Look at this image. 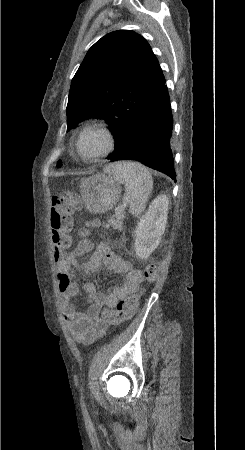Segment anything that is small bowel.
I'll list each match as a JSON object with an SVG mask.
<instances>
[{
    "label": "small bowel",
    "mask_w": 245,
    "mask_h": 450,
    "mask_svg": "<svg viewBox=\"0 0 245 450\" xmlns=\"http://www.w3.org/2000/svg\"><path fill=\"white\" fill-rule=\"evenodd\" d=\"M90 250H92V255L85 263H82L81 257ZM73 266L82 268L86 273H91L104 266L112 273L124 276L125 279L104 295L98 293L94 283H85L84 291L88 295L90 306L86 312L79 311L72 302L80 293L78 283L73 280L71 270ZM56 270L58 288L62 294L60 301L63 317L72 336L85 345L93 343L107 331V324L99 315L102 307L114 308L118 300L134 292L142 281L141 273L135 270L129 262L111 252L109 243H100L94 247L92 242H80L74 251H71L65 259L57 264Z\"/></svg>",
    "instance_id": "c3829d8e"
}]
</instances>
